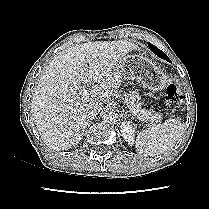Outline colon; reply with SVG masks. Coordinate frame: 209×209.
<instances>
[{
  "label": "colon",
  "mask_w": 209,
  "mask_h": 209,
  "mask_svg": "<svg viewBox=\"0 0 209 209\" xmlns=\"http://www.w3.org/2000/svg\"><path fill=\"white\" fill-rule=\"evenodd\" d=\"M182 101V92L175 83H169L165 90V105L168 111L173 112Z\"/></svg>",
  "instance_id": "colon-1"
}]
</instances>
